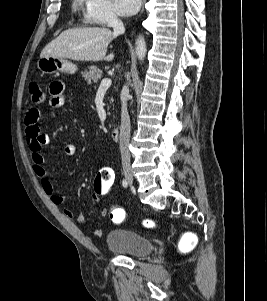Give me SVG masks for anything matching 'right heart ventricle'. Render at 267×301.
I'll return each instance as SVG.
<instances>
[{
    "instance_id": "1",
    "label": "right heart ventricle",
    "mask_w": 267,
    "mask_h": 301,
    "mask_svg": "<svg viewBox=\"0 0 267 301\" xmlns=\"http://www.w3.org/2000/svg\"><path fill=\"white\" fill-rule=\"evenodd\" d=\"M84 2V0H74V9L77 10L79 9V7H81L82 3Z\"/></svg>"
}]
</instances>
